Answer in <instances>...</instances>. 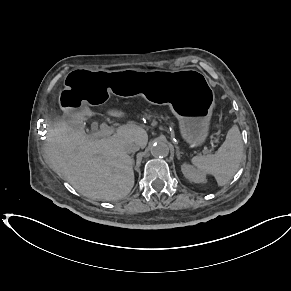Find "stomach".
I'll return each mask as SVG.
<instances>
[{
	"mask_svg": "<svg viewBox=\"0 0 291 291\" xmlns=\"http://www.w3.org/2000/svg\"><path fill=\"white\" fill-rule=\"evenodd\" d=\"M65 83L58 99L65 112L85 113L87 105L106 102L110 94L142 95L152 102L169 104L181 135L187 133L182 136L187 143L201 145L209 134L215 96L205 75L197 70H73Z\"/></svg>",
	"mask_w": 291,
	"mask_h": 291,
	"instance_id": "obj_1",
	"label": "stomach"
}]
</instances>
